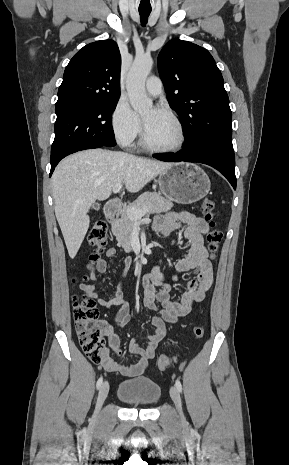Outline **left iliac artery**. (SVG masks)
<instances>
[{
	"instance_id": "44dca946",
	"label": "left iliac artery",
	"mask_w": 289,
	"mask_h": 465,
	"mask_svg": "<svg viewBox=\"0 0 289 465\" xmlns=\"http://www.w3.org/2000/svg\"><path fill=\"white\" fill-rule=\"evenodd\" d=\"M175 386H176V388L178 389L179 392H182V385H181V382L179 380H176Z\"/></svg>"
}]
</instances>
